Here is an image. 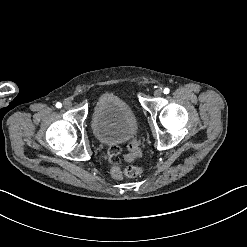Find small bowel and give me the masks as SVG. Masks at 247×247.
Wrapping results in <instances>:
<instances>
[{
    "mask_svg": "<svg viewBox=\"0 0 247 247\" xmlns=\"http://www.w3.org/2000/svg\"><path fill=\"white\" fill-rule=\"evenodd\" d=\"M121 153H122V150L118 146H114V147L109 149L108 154L111 157L109 160V163L111 166L116 167L119 165L120 160H119L118 156H120Z\"/></svg>",
    "mask_w": 247,
    "mask_h": 247,
    "instance_id": "1",
    "label": "small bowel"
}]
</instances>
